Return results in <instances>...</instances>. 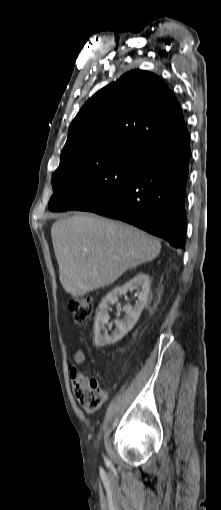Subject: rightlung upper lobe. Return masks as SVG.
<instances>
[{"label": "right lung upper lobe", "mask_w": 221, "mask_h": 510, "mask_svg": "<svg viewBox=\"0 0 221 510\" xmlns=\"http://www.w3.org/2000/svg\"><path fill=\"white\" fill-rule=\"evenodd\" d=\"M180 104L155 74L130 71L92 96L72 121L61 160L124 147L150 149L187 133Z\"/></svg>", "instance_id": "cb5924a9"}]
</instances>
